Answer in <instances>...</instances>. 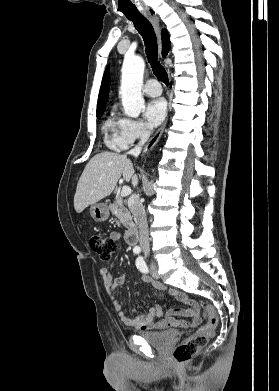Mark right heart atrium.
Returning a JSON list of instances; mask_svg holds the SVG:
<instances>
[{
    "label": "right heart atrium",
    "mask_w": 279,
    "mask_h": 391,
    "mask_svg": "<svg viewBox=\"0 0 279 391\" xmlns=\"http://www.w3.org/2000/svg\"><path fill=\"white\" fill-rule=\"evenodd\" d=\"M149 134L148 126L140 120L122 118L120 124V145L125 149L137 141L144 140Z\"/></svg>",
    "instance_id": "1"
}]
</instances>
